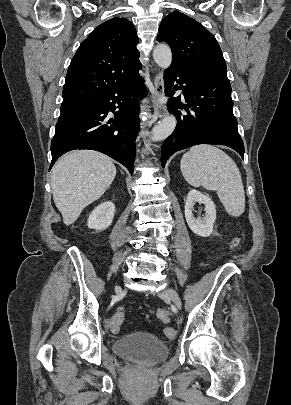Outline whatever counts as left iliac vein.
<instances>
[{"mask_svg":"<svg viewBox=\"0 0 291 405\" xmlns=\"http://www.w3.org/2000/svg\"><path fill=\"white\" fill-rule=\"evenodd\" d=\"M161 297L170 298L178 309H181L182 303L178 293L172 288H165L159 294Z\"/></svg>","mask_w":291,"mask_h":405,"instance_id":"left-iliac-vein-1","label":"left iliac vein"}]
</instances>
